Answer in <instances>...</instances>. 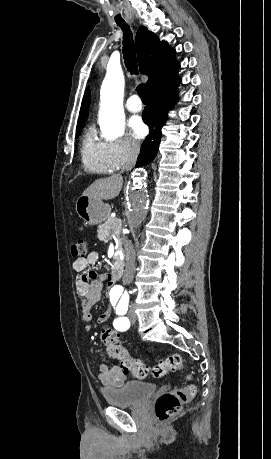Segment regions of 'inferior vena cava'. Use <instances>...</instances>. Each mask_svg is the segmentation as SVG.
Listing matches in <instances>:
<instances>
[{"label": "inferior vena cava", "instance_id": "1", "mask_svg": "<svg viewBox=\"0 0 271 459\" xmlns=\"http://www.w3.org/2000/svg\"><path fill=\"white\" fill-rule=\"evenodd\" d=\"M134 166V162H129V164H127V166H124V168H122L121 172H124V170H131V168H133ZM124 277H127V275H124ZM128 281H130V279H128Z\"/></svg>", "mask_w": 271, "mask_h": 459}]
</instances>
